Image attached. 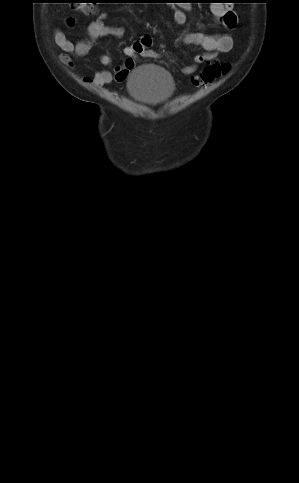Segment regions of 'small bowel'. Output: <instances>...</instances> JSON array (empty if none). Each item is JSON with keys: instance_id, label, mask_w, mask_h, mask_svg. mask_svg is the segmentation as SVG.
Returning a JSON list of instances; mask_svg holds the SVG:
<instances>
[{"instance_id": "c3829d8e", "label": "small bowel", "mask_w": 299, "mask_h": 483, "mask_svg": "<svg viewBox=\"0 0 299 483\" xmlns=\"http://www.w3.org/2000/svg\"><path fill=\"white\" fill-rule=\"evenodd\" d=\"M181 6H172L173 18L178 25L186 22V13ZM212 15L221 22L222 26L227 30H233L237 24V16L233 11L227 10L221 2H215L211 6ZM107 15L102 13L97 19L92 21L88 27L89 38L85 41L74 44L67 35L57 29L54 31V41L56 45L63 51L60 55L61 60L68 66H73L71 56L82 57L100 38L113 36L121 38L125 34V28L117 25L106 24ZM75 19L67 18V25L73 26ZM184 42L187 44L200 45L206 51L197 54L194 58V64L183 69V73L191 75L196 71L197 65L207 63L214 59L218 54L228 53L233 48V39L229 34H205L202 32H188L184 36ZM152 38L148 35L142 36L138 41L124 47L123 52L126 60L122 65L117 66L113 71L103 69L95 72L93 75L83 77V81L94 87H101L115 81L124 82L129 72L134 68L138 57H156L157 55L150 50ZM100 63L104 66L112 64V58L108 55L100 57Z\"/></svg>"}]
</instances>
